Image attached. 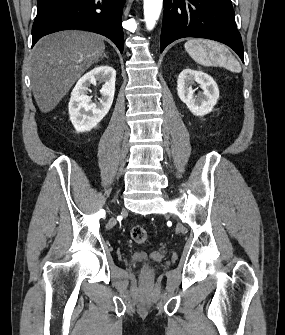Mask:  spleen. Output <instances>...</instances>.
Masks as SVG:
<instances>
[{"label":"spleen","instance_id":"spleen-1","mask_svg":"<svg viewBox=\"0 0 285 335\" xmlns=\"http://www.w3.org/2000/svg\"><path fill=\"white\" fill-rule=\"evenodd\" d=\"M184 48L189 56L201 66H224V68L236 66L238 72H241L239 62L229 54V50L222 44H217L212 40L190 38Z\"/></svg>","mask_w":285,"mask_h":335}]
</instances>
